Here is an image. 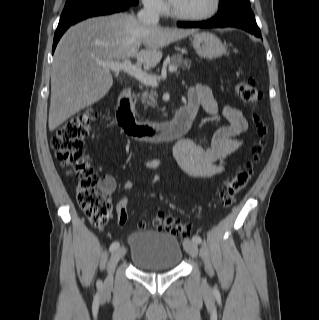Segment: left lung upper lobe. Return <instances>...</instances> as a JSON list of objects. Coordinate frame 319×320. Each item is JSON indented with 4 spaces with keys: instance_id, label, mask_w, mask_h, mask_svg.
I'll return each mask as SVG.
<instances>
[{
    "instance_id": "obj_1",
    "label": "left lung upper lobe",
    "mask_w": 319,
    "mask_h": 320,
    "mask_svg": "<svg viewBox=\"0 0 319 320\" xmlns=\"http://www.w3.org/2000/svg\"><path fill=\"white\" fill-rule=\"evenodd\" d=\"M219 7V11L237 7L251 8L249 0H220Z\"/></svg>"
}]
</instances>
